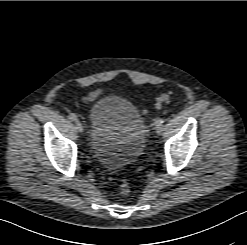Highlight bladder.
Wrapping results in <instances>:
<instances>
[{"mask_svg": "<svg viewBox=\"0 0 247 245\" xmlns=\"http://www.w3.org/2000/svg\"><path fill=\"white\" fill-rule=\"evenodd\" d=\"M90 145L97 159L109 169L131 166L143 155L146 124L129 100L106 95L96 100L90 113Z\"/></svg>", "mask_w": 247, "mask_h": 245, "instance_id": "1", "label": "bladder"}]
</instances>
